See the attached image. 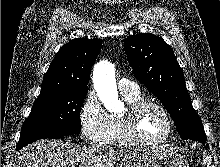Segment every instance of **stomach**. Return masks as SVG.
Listing matches in <instances>:
<instances>
[{"label": "stomach", "instance_id": "obj_1", "mask_svg": "<svg viewBox=\"0 0 220 167\" xmlns=\"http://www.w3.org/2000/svg\"><path fill=\"white\" fill-rule=\"evenodd\" d=\"M119 167H189L185 158L166 147L128 151Z\"/></svg>", "mask_w": 220, "mask_h": 167}]
</instances>
